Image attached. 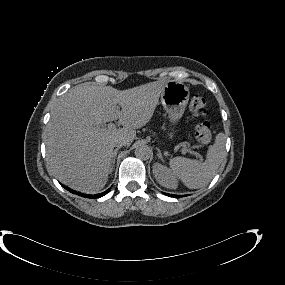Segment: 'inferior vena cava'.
<instances>
[{
  "label": "inferior vena cava",
  "mask_w": 285,
  "mask_h": 285,
  "mask_svg": "<svg viewBox=\"0 0 285 285\" xmlns=\"http://www.w3.org/2000/svg\"><path fill=\"white\" fill-rule=\"evenodd\" d=\"M113 145L114 147H122L126 145V140L124 138L115 139Z\"/></svg>",
  "instance_id": "inferior-vena-cava-1"
}]
</instances>
